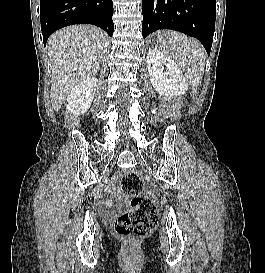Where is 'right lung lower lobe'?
Here are the masks:
<instances>
[{
    "label": "right lung lower lobe",
    "mask_w": 265,
    "mask_h": 273,
    "mask_svg": "<svg viewBox=\"0 0 265 273\" xmlns=\"http://www.w3.org/2000/svg\"><path fill=\"white\" fill-rule=\"evenodd\" d=\"M112 0H40L43 41L56 30L72 24H93L112 36Z\"/></svg>",
    "instance_id": "obj_1"
}]
</instances>
